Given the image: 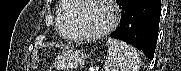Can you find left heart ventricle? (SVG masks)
<instances>
[{
  "mask_svg": "<svg viewBox=\"0 0 181 71\" xmlns=\"http://www.w3.org/2000/svg\"><path fill=\"white\" fill-rule=\"evenodd\" d=\"M110 21L108 10L97 0L83 1L78 17V29L84 33H96L103 30Z\"/></svg>",
  "mask_w": 181,
  "mask_h": 71,
  "instance_id": "left-heart-ventricle-1",
  "label": "left heart ventricle"
}]
</instances>
